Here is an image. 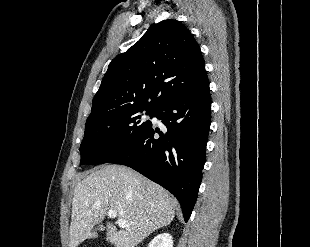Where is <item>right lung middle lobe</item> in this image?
I'll return each instance as SVG.
<instances>
[{
  "label": "right lung middle lobe",
  "mask_w": 310,
  "mask_h": 247,
  "mask_svg": "<svg viewBox=\"0 0 310 247\" xmlns=\"http://www.w3.org/2000/svg\"><path fill=\"white\" fill-rule=\"evenodd\" d=\"M153 109L131 108L98 116L86 122L80 146L81 164H103L132 146L151 123Z\"/></svg>",
  "instance_id": "dd1d6c3e"
}]
</instances>
